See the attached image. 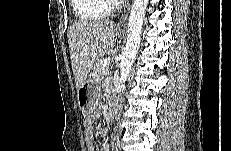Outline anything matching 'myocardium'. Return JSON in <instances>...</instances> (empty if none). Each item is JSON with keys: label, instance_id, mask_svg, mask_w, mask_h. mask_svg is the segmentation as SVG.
<instances>
[{"label": "myocardium", "instance_id": "f54148a6", "mask_svg": "<svg viewBox=\"0 0 231 151\" xmlns=\"http://www.w3.org/2000/svg\"><path fill=\"white\" fill-rule=\"evenodd\" d=\"M109 5H110V9L112 11H114L118 7V5L115 2H113V1H109Z\"/></svg>", "mask_w": 231, "mask_h": 151}]
</instances>
